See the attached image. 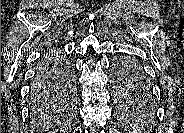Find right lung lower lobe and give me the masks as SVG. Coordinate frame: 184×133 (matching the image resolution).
Returning a JSON list of instances; mask_svg holds the SVG:
<instances>
[{"label": "right lung lower lobe", "instance_id": "98d812e1", "mask_svg": "<svg viewBox=\"0 0 184 133\" xmlns=\"http://www.w3.org/2000/svg\"><path fill=\"white\" fill-rule=\"evenodd\" d=\"M38 77V68H37V70H36V77H35V79ZM34 82H35V80H34Z\"/></svg>", "mask_w": 184, "mask_h": 133}]
</instances>
